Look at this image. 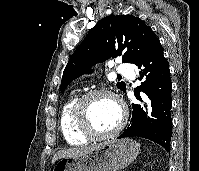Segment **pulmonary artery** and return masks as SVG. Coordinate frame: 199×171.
Here are the masks:
<instances>
[{
  "label": "pulmonary artery",
  "mask_w": 199,
  "mask_h": 171,
  "mask_svg": "<svg viewBox=\"0 0 199 171\" xmlns=\"http://www.w3.org/2000/svg\"><path fill=\"white\" fill-rule=\"evenodd\" d=\"M116 72L120 75L127 76V77L134 76L131 65H129V64H119L116 67Z\"/></svg>",
  "instance_id": "obj_1"
}]
</instances>
